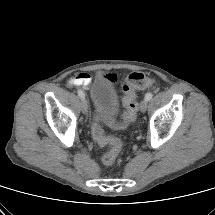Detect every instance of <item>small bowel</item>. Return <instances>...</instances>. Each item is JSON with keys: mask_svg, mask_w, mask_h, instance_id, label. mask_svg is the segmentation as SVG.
Masks as SVG:
<instances>
[{"mask_svg": "<svg viewBox=\"0 0 215 215\" xmlns=\"http://www.w3.org/2000/svg\"><path fill=\"white\" fill-rule=\"evenodd\" d=\"M111 81L116 80L115 74H107L106 75ZM91 83V76L87 73H79L69 80V84L72 86H80L84 89H86L89 84Z\"/></svg>", "mask_w": 215, "mask_h": 215, "instance_id": "c3829d8e", "label": "small bowel"}]
</instances>
